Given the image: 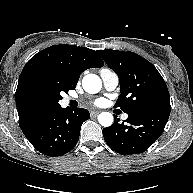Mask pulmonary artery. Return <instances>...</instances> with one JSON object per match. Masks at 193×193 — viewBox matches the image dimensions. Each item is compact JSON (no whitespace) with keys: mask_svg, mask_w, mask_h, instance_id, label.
I'll use <instances>...</instances> for the list:
<instances>
[{"mask_svg":"<svg viewBox=\"0 0 193 193\" xmlns=\"http://www.w3.org/2000/svg\"><path fill=\"white\" fill-rule=\"evenodd\" d=\"M100 77L102 79L103 85L107 91H113L116 89L119 83L118 76L115 72L109 70V69H103L100 71ZM72 98L68 97L64 101L66 104L69 103V101ZM128 115L124 114L122 118L125 120L127 119Z\"/></svg>","mask_w":193,"mask_h":193,"instance_id":"1","label":"pulmonary artery"}]
</instances>
